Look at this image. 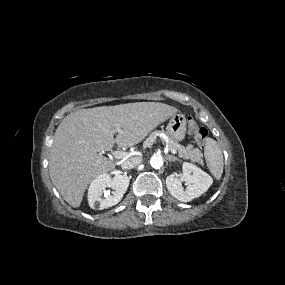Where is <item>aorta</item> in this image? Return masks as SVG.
Instances as JSON below:
<instances>
[{
	"label": "aorta",
	"mask_w": 285,
	"mask_h": 285,
	"mask_svg": "<svg viewBox=\"0 0 285 285\" xmlns=\"http://www.w3.org/2000/svg\"><path fill=\"white\" fill-rule=\"evenodd\" d=\"M164 164L163 157L159 154H154L150 159V165L155 169H160Z\"/></svg>",
	"instance_id": "aorta-1"
}]
</instances>
